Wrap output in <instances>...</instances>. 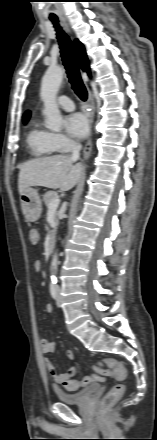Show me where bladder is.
Instances as JSON below:
<instances>
[{
	"instance_id": "obj_1",
	"label": "bladder",
	"mask_w": 157,
	"mask_h": 440,
	"mask_svg": "<svg viewBox=\"0 0 157 440\" xmlns=\"http://www.w3.org/2000/svg\"><path fill=\"white\" fill-rule=\"evenodd\" d=\"M97 389V385H90L78 392L56 390L55 394L58 400L64 404H81L92 397Z\"/></svg>"
}]
</instances>
